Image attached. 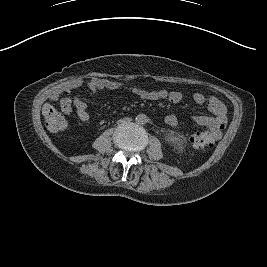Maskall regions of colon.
Segmentation results:
<instances>
[{
	"instance_id": "colon-1",
	"label": "colon",
	"mask_w": 267,
	"mask_h": 267,
	"mask_svg": "<svg viewBox=\"0 0 267 267\" xmlns=\"http://www.w3.org/2000/svg\"><path fill=\"white\" fill-rule=\"evenodd\" d=\"M46 127L51 132H60L66 128L65 117L52 105L46 104L42 110ZM191 144L195 149L205 150L210 146V141L201 133L191 137Z\"/></svg>"
}]
</instances>
